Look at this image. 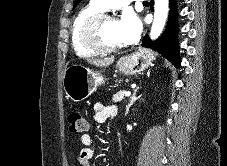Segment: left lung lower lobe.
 Instances as JSON below:
<instances>
[{
	"mask_svg": "<svg viewBox=\"0 0 227 166\" xmlns=\"http://www.w3.org/2000/svg\"><path fill=\"white\" fill-rule=\"evenodd\" d=\"M170 16L167 28L163 35L156 41H151L146 35L143 38L142 46L154 49L165 56L175 66H180V55L177 40V24H176V5L175 0H169ZM153 4V0L151 6Z\"/></svg>",
	"mask_w": 227,
	"mask_h": 166,
	"instance_id": "0a47b994",
	"label": "left lung lower lobe"
}]
</instances>
